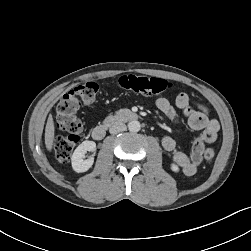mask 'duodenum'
I'll return each mask as SVG.
<instances>
[{
    "mask_svg": "<svg viewBox=\"0 0 251 251\" xmlns=\"http://www.w3.org/2000/svg\"><path fill=\"white\" fill-rule=\"evenodd\" d=\"M138 118L135 112L123 109L109 117L103 124L95 126L91 131V136L94 140H102L107 132V129L117 123L133 121Z\"/></svg>",
    "mask_w": 251,
    "mask_h": 251,
    "instance_id": "1",
    "label": "duodenum"
}]
</instances>
